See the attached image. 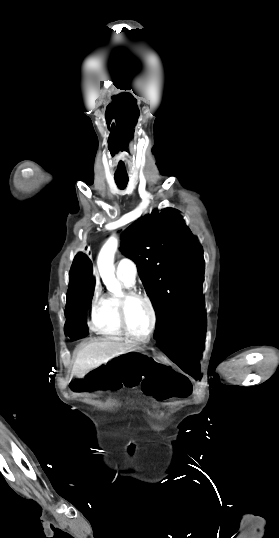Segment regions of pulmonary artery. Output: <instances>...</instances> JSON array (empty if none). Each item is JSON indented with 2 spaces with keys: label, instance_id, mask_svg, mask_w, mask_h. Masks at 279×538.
Instances as JSON below:
<instances>
[{
  "label": "pulmonary artery",
  "instance_id": "obj_1",
  "mask_svg": "<svg viewBox=\"0 0 279 538\" xmlns=\"http://www.w3.org/2000/svg\"><path fill=\"white\" fill-rule=\"evenodd\" d=\"M116 273L125 278L129 283H134L137 269L134 263L128 258H122L115 265Z\"/></svg>",
  "mask_w": 279,
  "mask_h": 538
}]
</instances>
